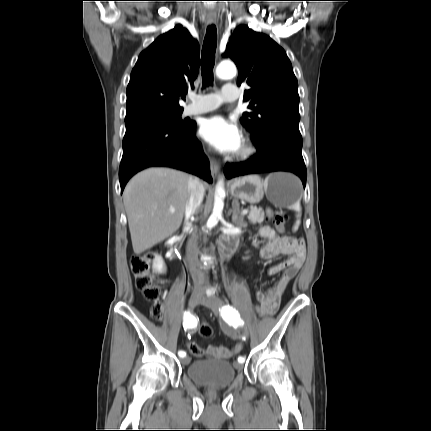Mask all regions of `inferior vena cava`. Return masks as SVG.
<instances>
[{"instance_id":"602c4592","label":"inferior vena cava","mask_w":431,"mask_h":431,"mask_svg":"<svg viewBox=\"0 0 431 431\" xmlns=\"http://www.w3.org/2000/svg\"><path fill=\"white\" fill-rule=\"evenodd\" d=\"M205 188L197 177H190L188 181V199L185 206V218L189 220L197 211L203 201ZM187 257L194 261L198 256L197 236L192 234L187 242ZM190 272L194 281V290L202 291L205 281V273L195 265L190 267Z\"/></svg>"}]
</instances>
